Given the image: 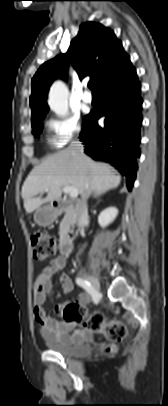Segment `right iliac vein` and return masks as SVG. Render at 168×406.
Instances as JSON below:
<instances>
[{
	"label": "right iliac vein",
	"mask_w": 168,
	"mask_h": 406,
	"mask_svg": "<svg viewBox=\"0 0 168 406\" xmlns=\"http://www.w3.org/2000/svg\"><path fill=\"white\" fill-rule=\"evenodd\" d=\"M84 276H85L86 280L89 281V283L91 284V286L93 287V289H94L96 292L99 293V292H100V285H99V282H98L97 278L94 277L93 275L88 274V273H86Z\"/></svg>",
	"instance_id": "right-iliac-vein-1"
}]
</instances>
